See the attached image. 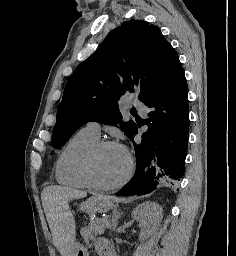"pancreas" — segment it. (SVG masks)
<instances>
[{
    "instance_id": "1",
    "label": "pancreas",
    "mask_w": 236,
    "mask_h": 256,
    "mask_svg": "<svg viewBox=\"0 0 236 256\" xmlns=\"http://www.w3.org/2000/svg\"><path fill=\"white\" fill-rule=\"evenodd\" d=\"M107 218L105 220H100V222H91L90 224H86L85 227L81 228V234L84 236L83 243H86V246H92L91 243H101V238H95L97 234H104V228H108ZM91 227H98L95 230L94 234L91 231Z\"/></svg>"
}]
</instances>
